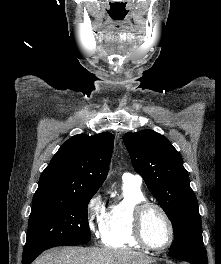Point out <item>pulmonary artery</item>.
Here are the masks:
<instances>
[{
    "label": "pulmonary artery",
    "mask_w": 221,
    "mask_h": 264,
    "mask_svg": "<svg viewBox=\"0 0 221 264\" xmlns=\"http://www.w3.org/2000/svg\"><path fill=\"white\" fill-rule=\"evenodd\" d=\"M122 180L124 183H134L137 185H141L142 183V178L140 175L135 174V173H131V172H125L122 175Z\"/></svg>",
    "instance_id": "e3ab8cb5"
}]
</instances>
